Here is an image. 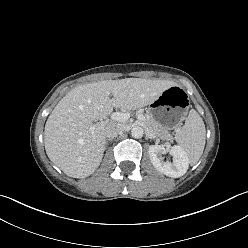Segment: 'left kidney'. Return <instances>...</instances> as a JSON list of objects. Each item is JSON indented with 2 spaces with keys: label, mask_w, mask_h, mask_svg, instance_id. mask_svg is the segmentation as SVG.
<instances>
[{
  "label": "left kidney",
  "mask_w": 248,
  "mask_h": 248,
  "mask_svg": "<svg viewBox=\"0 0 248 248\" xmlns=\"http://www.w3.org/2000/svg\"><path fill=\"white\" fill-rule=\"evenodd\" d=\"M148 152L151 163L159 172L172 178L181 177L187 172L189 159L180 146H173L169 150L173 162L164 161L162 154H165L167 150L161 145L149 146Z\"/></svg>",
  "instance_id": "obj_1"
}]
</instances>
